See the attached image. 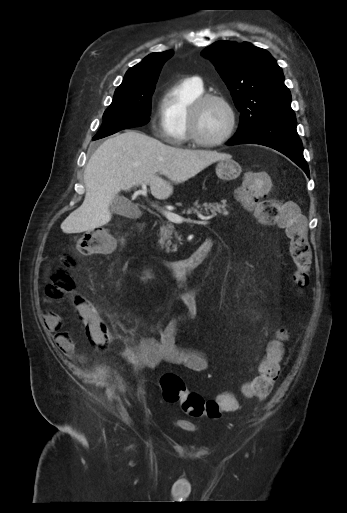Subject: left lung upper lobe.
<instances>
[{"instance_id":"1","label":"left lung upper lobe","mask_w":347,"mask_h":513,"mask_svg":"<svg viewBox=\"0 0 347 513\" xmlns=\"http://www.w3.org/2000/svg\"><path fill=\"white\" fill-rule=\"evenodd\" d=\"M202 55L213 62L241 113L236 135L267 120L295 117L282 69L269 52L248 42L218 41Z\"/></svg>"}]
</instances>
